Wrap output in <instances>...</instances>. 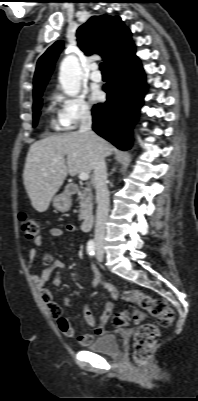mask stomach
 I'll return each instance as SVG.
<instances>
[{
  "label": "stomach",
  "instance_id": "stomach-1",
  "mask_svg": "<svg viewBox=\"0 0 198 401\" xmlns=\"http://www.w3.org/2000/svg\"><path fill=\"white\" fill-rule=\"evenodd\" d=\"M72 205L71 198L67 193H61L53 198V206L60 212H66Z\"/></svg>",
  "mask_w": 198,
  "mask_h": 401
}]
</instances>
